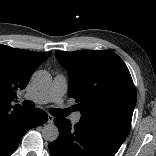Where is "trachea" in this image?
I'll return each mask as SVG.
<instances>
[{
  "label": "trachea",
  "mask_w": 156,
  "mask_h": 156,
  "mask_svg": "<svg viewBox=\"0 0 156 156\" xmlns=\"http://www.w3.org/2000/svg\"><path fill=\"white\" fill-rule=\"evenodd\" d=\"M23 105L27 108H33L34 107V103L28 100L23 101ZM68 110H63V109H55V108H51L50 109V113L53 116H57V117H63L66 116L68 114Z\"/></svg>",
  "instance_id": "obj_1"
}]
</instances>
